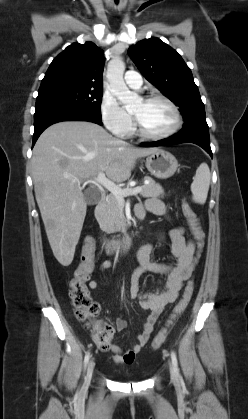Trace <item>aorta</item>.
Wrapping results in <instances>:
<instances>
[{"mask_svg":"<svg viewBox=\"0 0 248 419\" xmlns=\"http://www.w3.org/2000/svg\"><path fill=\"white\" fill-rule=\"evenodd\" d=\"M125 71V63L119 56L114 57L108 64L107 80L109 82L111 92L126 107L127 110L132 109L140 98L137 94L132 93L126 86L123 73Z\"/></svg>","mask_w":248,"mask_h":419,"instance_id":"aorta-1","label":"aorta"}]
</instances>
